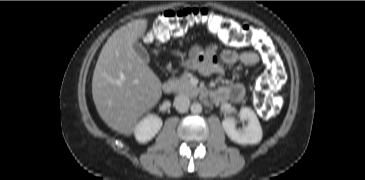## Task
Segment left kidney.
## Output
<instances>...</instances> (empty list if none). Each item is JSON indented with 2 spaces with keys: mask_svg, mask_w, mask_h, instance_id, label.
<instances>
[{
  "mask_svg": "<svg viewBox=\"0 0 365 180\" xmlns=\"http://www.w3.org/2000/svg\"><path fill=\"white\" fill-rule=\"evenodd\" d=\"M240 119L247 121L242 128L236 127L235 119H224L223 129L228 137L238 144H257L262 139V129L259 120L253 110L243 107L239 112Z\"/></svg>",
  "mask_w": 365,
  "mask_h": 180,
  "instance_id": "1",
  "label": "left kidney"
}]
</instances>
